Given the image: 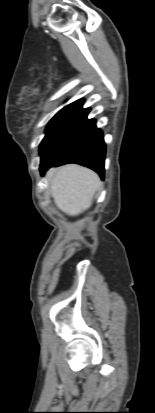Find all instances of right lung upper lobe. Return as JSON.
<instances>
[{
    "mask_svg": "<svg viewBox=\"0 0 155 413\" xmlns=\"http://www.w3.org/2000/svg\"><path fill=\"white\" fill-rule=\"evenodd\" d=\"M83 102H84L83 99L77 100V101H75V102L67 105V106L64 107L63 109H65V108H70V107H80Z\"/></svg>",
    "mask_w": 155,
    "mask_h": 413,
    "instance_id": "1",
    "label": "right lung upper lobe"
}]
</instances>
